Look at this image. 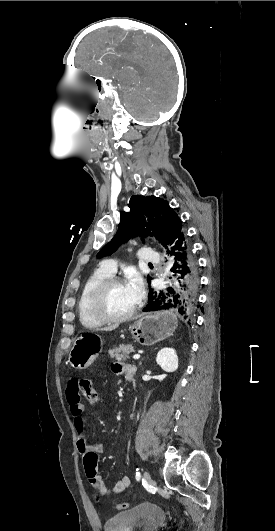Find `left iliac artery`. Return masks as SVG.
I'll return each instance as SVG.
<instances>
[{
  "mask_svg": "<svg viewBox=\"0 0 275 531\" xmlns=\"http://www.w3.org/2000/svg\"><path fill=\"white\" fill-rule=\"evenodd\" d=\"M136 471H137V472H136V480L139 481L140 478H141V474H140V472H138V471H139V468H137Z\"/></svg>",
  "mask_w": 275,
  "mask_h": 531,
  "instance_id": "obj_1",
  "label": "left iliac artery"
}]
</instances>
